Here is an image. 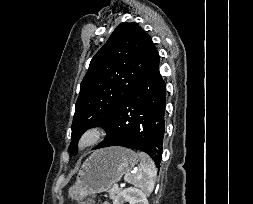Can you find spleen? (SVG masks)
<instances>
[{"mask_svg": "<svg viewBox=\"0 0 253 204\" xmlns=\"http://www.w3.org/2000/svg\"><path fill=\"white\" fill-rule=\"evenodd\" d=\"M140 163L136 171L127 173L124 177L125 181L140 188L145 193L150 194L154 189L157 169L155 163L149 155L139 152Z\"/></svg>", "mask_w": 253, "mask_h": 204, "instance_id": "spleen-1", "label": "spleen"}]
</instances>
